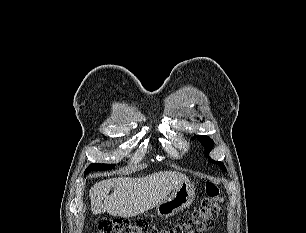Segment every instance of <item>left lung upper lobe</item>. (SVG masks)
<instances>
[{
  "label": "left lung upper lobe",
  "instance_id": "obj_1",
  "mask_svg": "<svg viewBox=\"0 0 306 233\" xmlns=\"http://www.w3.org/2000/svg\"><path fill=\"white\" fill-rule=\"evenodd\" d=\"M195 138H197L201 142V144L205 148V154L208 157V153L212 150V148L214 146L213 140L210 139L208 136H202V135H196V136L192 137L191 139H195ZM209 160L211 162L215 163V164H218L223 171H226V168H225L223 163L216 162V161L212 160L211 158H209Z\"/></svg>",
  "mask_w": 306,
  "mask_h": 233
}]
</instances>
